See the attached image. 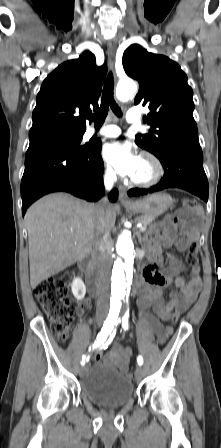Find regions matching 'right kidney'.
<instances>
[{"label": "right kidney", "mask_w": 221, "mask_h": 448, "mask_svg": "<svg viewBox=\"0 0 221 448\" xmlns=\"http://www.w3.org/2000/svg\"><path fill=\"white\" fill-rule=\"evenodd\" d=\"M71 289L74 297L77 300H81L84 298L86 294V287L84 282L80 278H75L71 284Z\"/></svg>", "instance_id": "1"}]
</instances>
